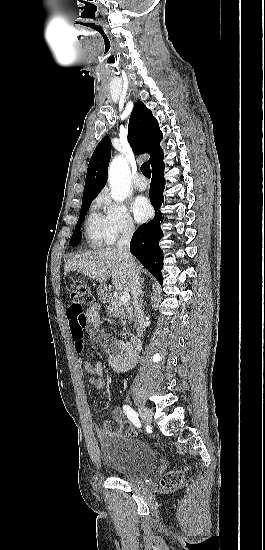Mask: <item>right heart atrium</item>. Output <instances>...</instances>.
I'll list each match as a JSON object with an SVG mask.
<instances>
[{"label": "right heart atrium", "mask_w": 265, "mask_h": 550, "mask_svg": "<svg viewBox=\"0 0 265 550\" xmlns=\"http://www.w3.org/2000/svg\"><path fill=\"white\" fill-rule=\"evenodd\" d=\"M97 202L104 208L105 226L111 242L133 235L135 225L124 203L113 201L106 193L100 195Z\"/></svg>", "instance_id": "1"}]
</instances>
